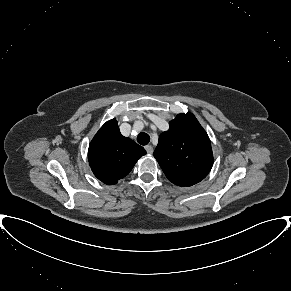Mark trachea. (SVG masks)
Wrapping results in <instances>:
<instances>
[{
	"mask_svg": "<svg viewBox=\"0 0 291 291\" xmlns=\"http://www.w3.org/2000/svg\"><path fill=\"white\" fill-rule=\"evenodd\" d=\"M150 141V136L147 133L141 132L137 136V142L141 145H147Z\"/></svg>",
	"mask_w": 291,
	"mask_h": 291,
	"instance_id": "3493384b",
	"label": "trachea"
}]
</instances>
